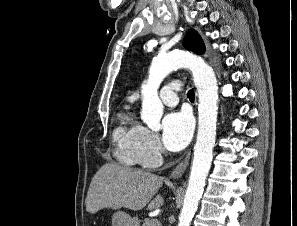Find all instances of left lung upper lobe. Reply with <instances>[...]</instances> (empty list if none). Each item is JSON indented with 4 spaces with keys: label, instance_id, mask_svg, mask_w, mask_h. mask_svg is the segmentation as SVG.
<instances>
[{
    "label": "left lung upper lobe",
    "instance_id": "5c2ea615",
    "mask_svg": "<svg viewBox=\"0 0 297 226\" xmlns=\"http://www.w3.org/2000/svg\"><path fill=\"white\" fill-rule=\"evenodd\" d=\"M183 45L187 49H189L195 53H198V54H203L205 52V46H204V43H203L201 37L193 29L189 30L186 33L184 40H183Z\"/></svg>",
    "mask_w": 297,
    "mask_h": 226
}]
</instances>
